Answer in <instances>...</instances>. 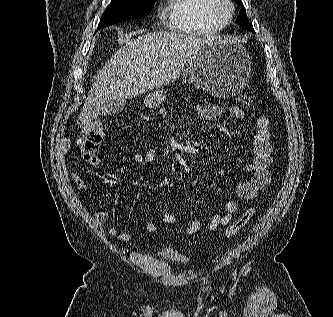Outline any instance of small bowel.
<instances>
[{
    "label": "small bowel",
    "instance_id": "small-bowel-1",
    "mask_svg": "<svg viewBox=\"0 0 333 317\" xmlns=\"http://www.w3.org/2000/svg\"><path fill=\"white\" fill-rule=\"evenodd\" d=\"M194 109L198 115L208 120L215 119L225 112V109L222 107L211 105L197 104L194 106ZM229 112L238 119L245 117L244 111L239 107H231ZM69 144L70 141L68 140L67 146H69ZM272 153L273 148L270 142L269 121L266 117L260 116L255 122L252 158L244 168V170L250 174V179L240 183L235 189V193L239 199L246 201L253 200L270 184L272 177L269 168L273 161ZM156 158L157 151L154 148H149L144 152H137L132 156V160L138 164H151ZM97 163L98 158L95 157L93 159V165ZM69 178L77 190L85 191L87 189L86 184L78 173L73 171L69 172ZM223 208L226 211L225 214L216 212L210 219L208 224L210 231L227 225L239 211V204L236 201L228 200L223 203ZM92 211L94 219L99 225H103L107 222L109 215L105 210L92 206ZM160 218L168 225H174L176 223V218L172 214H162ZM201 227L202 223L200 220H193L187 225L185 231L187 234L192 235L198 232ZM145 230L147 233H154L156 226L152 222H146ZM108 235L123 242L132 239L131 233L120 232L116 226H111L108 229Z\"/></svg>",
    "mask_w": 333,
    "mask_h": 317
}]
</instances>
